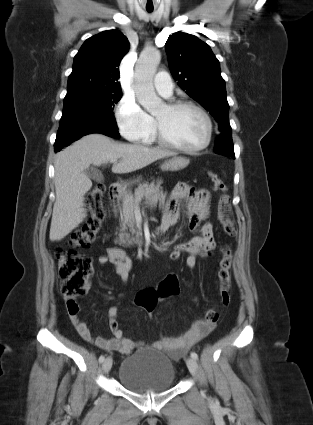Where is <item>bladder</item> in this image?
Segmentation results:
<instances>
[{"instance_id":"obj_1","label":"bladder","mask_w":313,"mask_h":425,"mask_svg":"<svg viewBox=\"0 0 313 425\" xmlns=\"http://www.w3.org/2000/svg\"><path fill=\"white\" fill-rule=\"evenodd\" d=\"M175 367L163 351L143 348L126 357L118 370V380L134 393L162 392L173 387Z\"/></svg>"}]
</instances>
